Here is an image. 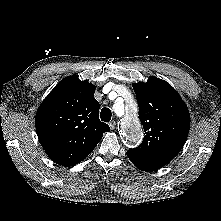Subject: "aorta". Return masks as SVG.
I'll return each mask as SVG.
<instances>
[{
	"mask_svg": "<svg viewBox=\"0 0 221 221\" xmlns=\"http://www.w3.org/2000/svg\"><path fill=\"white\" fill-rule=\"evenodd\" d=\"M130 102H132V99H130ZM119 109L120 108L118 107L117 112ZM121 134L129 146H136L140 143L142 138V129L133 112L127 113L121 122Z\"/></svg>",
	"mask_w": 221,
	"mask_h": 221,
	"instance_id": "762f6f07",
	"label": "aorta"
}]
</instances>
